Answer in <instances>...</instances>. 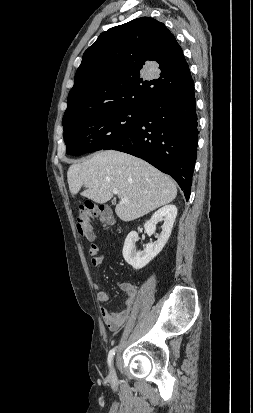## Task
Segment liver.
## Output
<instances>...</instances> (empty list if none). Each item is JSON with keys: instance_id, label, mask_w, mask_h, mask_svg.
Listing matches in <instances>:
<instances>
[{"instance_id": "6515ba94", "label": "liver", "mask_w": 253, "mask_h": 413, "mask_svg": "<svg viewBox=\"0 0 253 413\" xmlns=\"http://www.w3.org/2000/svg\"><path fill=\"white\" fill-rule=\"evenodd\" d=\"M67 180L72 195L85 186L81 195L96 203L107 202L117 189L120 202L115 212L125 222L172 202L177 195L176 184L169 176L140 158L115 150L97 152L71 165Z\"/></svg>"}]
</instances>
